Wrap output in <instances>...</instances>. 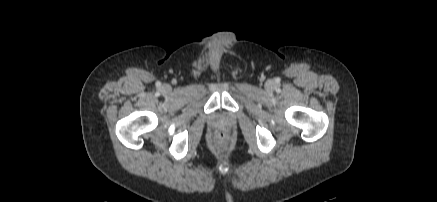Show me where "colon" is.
<instances>
[{
    "label": "colon",
    "mask_w": 437,
    "mask_h": 202,
    "mask_svg": "<svg viewBox=\"0 0 437 202\" xmlns=\"http://www.w3.org/2000/svg\"><path fill=\"white\" fill-rule=\"evenodd\" d=\"M216 140H217V144L220 147H223V146H225L227 144V136L224 133H219L217 135V139Z\"/></svg>",
    "instance_id": "colon-1"
}]
</instances>
